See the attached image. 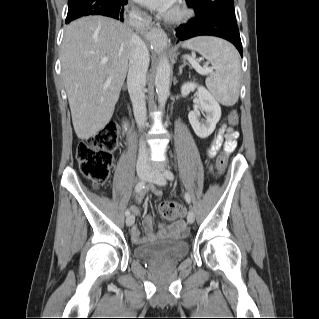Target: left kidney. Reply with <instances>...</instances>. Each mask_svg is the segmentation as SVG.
Listing matches in <instances>:
<instances>
[{
  "mask_svg": "<svg viewBox=\"0 0 319 319\" xmlns=\"http://www.w3.org/2000/svg\"><path fill=\"white\" fill-rule=\"evenodd\" d=\"M197 89L199 98V110L205 112L206 119H199V111H191L188 114L189 122L200 138H207L214 131L221 117V107L214 97L203 87L194 82L184 83L181 87L182 95L186 96Z\"/></svg>",
  "mask_w": 319,
  "mask_h": 319,
  "instance_id": "left-kidney-1",
  "label": "left kidney"
}]
</instances>
